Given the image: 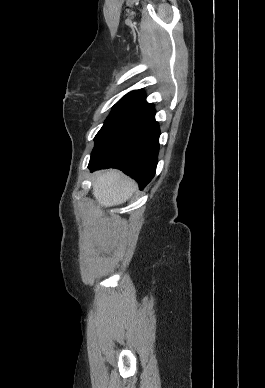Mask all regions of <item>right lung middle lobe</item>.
<instances>
[{
  "instance_id": "dd1d6c3e",
  "label": "right lung middle lobe",
  "mask_w": 265,
  "mask_h": 388,
  "mask_svg": "<svg viewBox=\"0 0 265 388\" xmlns=\"http://www.w3.org/2000/svg\"><path fill=\"white\" fill-rule=\"evenodd\" d=\"M145 100L124 96L113 107L110 115L95 136V147H98L114 133L121 129L138 113L148 106Z\"/></svg>"
}]
</instances>
